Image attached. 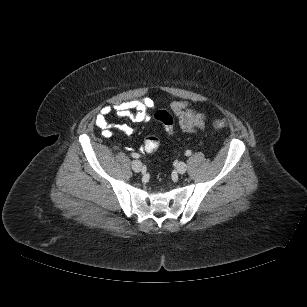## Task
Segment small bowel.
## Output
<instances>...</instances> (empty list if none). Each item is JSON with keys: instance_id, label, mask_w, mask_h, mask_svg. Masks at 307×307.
<instances>
[{"instance_id": "small-bowel-1", "label": "small bowel", "mask_w": 307, "mask_h": 307, "mask_svg": "<svg viewBox=\"0 0 307 307\" xmlns=\"http://www.w3.org/2000/svg\"><path fill=\"white\" fill-rule=\"evenodd\" d=\"M169 106L178 118L180 129L183 132L199 133L204 129L206 116L192 109L187 101H172ZM154 107L155 102L149 97L127 101L113 106H105L96 115L95 124L101 130V134L106 138L113 135L114 129L130 135L133 132V128L130 125L124 123L111 126L108 122V116L114 111L118 116L127 118L134 123H143L150 119V112Z\"/></svg>"}]
</instances>
